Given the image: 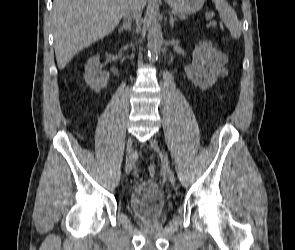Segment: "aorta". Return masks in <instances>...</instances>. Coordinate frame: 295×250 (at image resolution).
Returning a JSON list of instances; mask_svg holds the SVG:
<instances>
[{"instance_id":"1","label":"aorta","mask_w":295,"mask_h":250,"mask_svg":"<svg viewBox=\"0 0 295 250\" xmlns=\"http://www.w3.org/2000/svg\"><path fill=\"white\" fill-rule=\"evenodd\" d=\"M147 41L148 57L151 62H154L158 59L163 42L162 28L155 17L150 19Z\"/></svg>"}]
</instances>
